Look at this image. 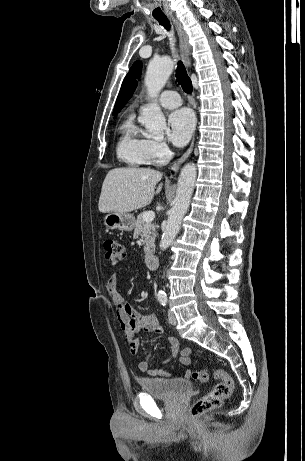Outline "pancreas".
Returning a JSON list of instances; mask_svg holds the SVG:
<instances>
[{"instance_id": "1", "label": "pancreas", "mask_w": 305, "mask_h": 461, "mask_svg": "<svg viewBox=\"0 0 305 461\" xmlns=\"http://www.w3.org/2000/svg\"><path fill=\"white\" fill-rule=\"evenodd\" d=\"M144 213H141L137 216V220L135 222V230H134V237L141 236L145 246H144V253L145 255H149L154 246H155V238H156V228L157 225L151 222H145L143 219Z\"/></svg>"}]
</instances>
